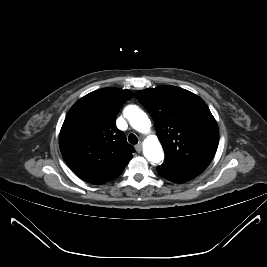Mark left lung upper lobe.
<instances>
[{
  "label": "left lung upper lobe",
  "instance_id": "5c2ea615",
  "mask_svg": "<svg viewBox=\"0 0 267 267\" xmlns=\"http://www.w3.org/2000/svg\"><path fill=\"white\" fill-rule=\"evenodd\" d=\"M151 114L167 164L201 174L213 159L219 130L206 103L185 89L165 85L135 93Z\"/></svg>",
  "mask_w": 267,
  "mask_h": 267
}]
</instances>
